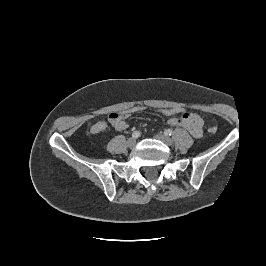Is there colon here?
<instances>
[{"label": "colon", "instance_id": "colon-1", "mask_svg": "<svg viewBox=\"0 0 266 266\" xmlns=\"http://www.w3.org/2000/svg\"><path fill=\"white\" fill-rule=\"evenodd\" d=\"M144 110H146L145 107L136 105L122 112H113L109 115L108 119H109V122L113 125L119 122L120 120H125L131 117L132 115L142 112ZM154 111L158 114H161L164 116H172V117L185 112L184 108L180 106L158 108V109H155ZM208 131L210 133H216L217 127L216 126L209 127Z\"/></svg>", "mask_w": 266, "mask_h": 266}]
</instances>
